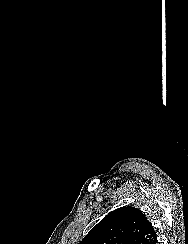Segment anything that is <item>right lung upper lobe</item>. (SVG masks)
I'll use <instances>...</instances> for the list:
<instances>
[{"mask_svg":"<svg viewBox=\"0 0 188 244\" xmlns=\"http://www.w3.org/2000/svg\"><path fill=\"white\" fill-rule=\"evenodd\" d=\"M153 226L135 207H122L106 215L79 244H151Z\"/></svg>","mask_w":188,"mask_h":244,"instance_id":"right-lung-upper-lobe-1","label":"right lung upper lobe"}]
</instances>
